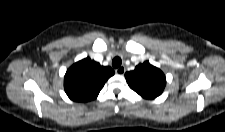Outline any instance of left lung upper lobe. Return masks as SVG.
Here are the masks:
<instances>
[{
  "label": "left lung upper lobe",
  "mask_w": 225,
  "mask_h": 132,
  "mask_svg": "<svg viewBox=\"0 0 225 132\" xmlns=\"http://www.w3.org/2000/svg\"><path fill=\"white\" fill-rule=\"evenodd\" d=\"M125 78L129 87L146 99L161 95L166 85L164 73L148 61L137 65L135 70L125 73Z\"/></svg>",
  "instance_id": "5c2ea615"
}]
</instances>
